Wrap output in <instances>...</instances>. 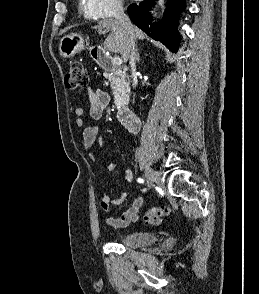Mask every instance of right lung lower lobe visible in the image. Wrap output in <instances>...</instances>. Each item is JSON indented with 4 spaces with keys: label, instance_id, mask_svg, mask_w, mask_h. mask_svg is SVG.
I'll return each instance as SVG.
<instances>
[{
    "label": "right lung lower lobe",
    "instance_id": "98d812e1",
    "mask_svg": "<svg viewBox=\"0 0 259 294\" xmlns=\"http://www.w3.org/2000/svg\"><path fill=\"white\" fill-rule=\"evenodd\" d=\"M184 0H168L161 23H152L149 10L155 5V0H144L128 7V14L133 23L151 38L162 42L171 51L176 52L179 45V35L176 31L178 15L183 8Z\"/></svg>",
    "mask_w": 259,
    "mask_h": 294
}]
</instances>
